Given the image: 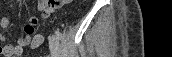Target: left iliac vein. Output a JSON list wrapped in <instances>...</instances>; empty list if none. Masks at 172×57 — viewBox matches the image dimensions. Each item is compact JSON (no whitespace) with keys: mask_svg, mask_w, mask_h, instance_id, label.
Instances as JSON below:
<instances>
[{"mask_svg":"<svg viewBox=\"0 0 172 57\" xmlns=\"http://www.w3.org/2000/svg\"><path fill=\"white\" fill-rule=\"evenodd\" d=\"M49 47L53 57L58 56L59 39L57 35H51L49 37Z\"/></svg>","mask_w":172,"mask_h":57,"instance_id":"obj_1","label":"left iliac vein"}]
</instances>
